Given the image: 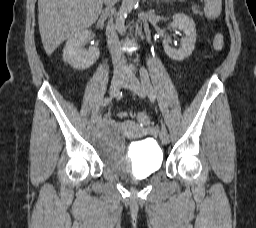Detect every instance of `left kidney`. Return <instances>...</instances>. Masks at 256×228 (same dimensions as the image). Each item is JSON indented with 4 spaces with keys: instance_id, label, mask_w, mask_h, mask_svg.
<instances>
[{
    "instance_id": "1",
    "label": "left kidney",
    "mask_w": 256,
    "mask_h": 228,
    "mask_svg": "<svg viewBox=\"0 0 256 228\" xmlns=\"http://www.w3.org/2000/svg\"><path fill=\"white\" fill-rule=\"evenodd\" d=\"M171 27L182 30L185 37L181 39V46L179 49L170 46V40H163V47L165 53L175 61H182L189 57L194 49L196 42L195 23L192 18L185 14H175Z\"/></svg>"
}]
</instances>
